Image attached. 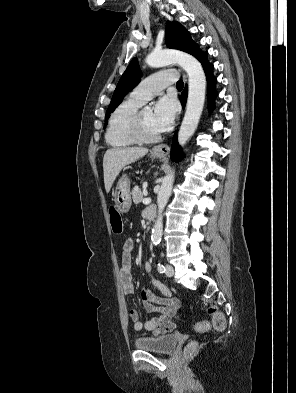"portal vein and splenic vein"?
I'll list each match as a JSON object with an SVG mask.
<instances>
[{
  "label": "portal vein and splenic vein",
  "mask_w": 296,
  "mask_h": 393,
  "mask_svg": "<svg viewBox=\"0 0 296 393\" xmlns=\"http://www.w3.org/2000/svg\"><path fill=\"white\" fill-rule=\"evenodd\" d=\"M150 198H145L143 201L144 202H149Z\"/></svg>",
  "instance_id": "obj_1"
}]
</instances>
